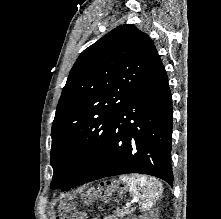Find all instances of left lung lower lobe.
Masks as SVG:
<instances>
[{
	"label": "left lung lower lobe",
	"mask_w": 221,
	"mask_h": 219,
	"mask_svg": "<svg viewBox=\"0 0 221 219\" xmlns=\"http://www.w3.org/2000/svg\"><path fill=\"white\" fill-rule=\"evenodd\" d=\"M172 96L159 55L116 117L95 163L76 185L127 173L148 174L172 185Z\"/></svg>",
	"instance_id": "left-lung-lower-lobe-1"
}]
</instances>
